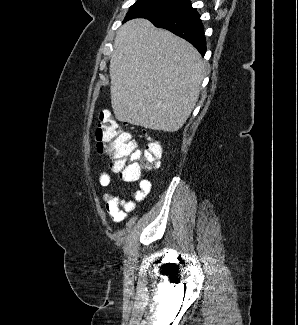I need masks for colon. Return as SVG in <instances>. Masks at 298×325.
I'll return each mask as SVG.
<instances>
[{
    "label": "colon",
    "mask_w": 298,
    "mask_h": 325,
    "mask_svg": "<svg viewBox=\"0 0 298 325\" xmlns=\"http://www.w3.org/2000/svg\"><path fill=\"white\" fill-rule=\"evenodd\" d=\"M95 137L98 151L111 160L113 169L127 181L137 180L160 166L162 151L157 143H150L146 155H142L131 134L122 129L110 111L100 114Z\"/></svg>",
    "instance_id": "obj_1"
}]
</instances>
